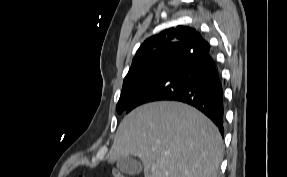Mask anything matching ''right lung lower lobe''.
<instances>
[{
	"label": "right lung lower lobe",
	"mask_w": 287,
	"mask_h": 177,
	"mask_svg": "<svg viewBox=\"0 0 287 177\" xmlns=\"http://www.w3.org/2000/svg\"><path fill=\"white\" fill-rule=\"evenodd\" d=\"M210 45L199 34L194 50L150 84L126 109L152 101L173 100L187 103L209 117L224 134V95Z\"/></svg>",
	"instance_id": "right-lung-lower-lobe-1"
}]
</instances>
